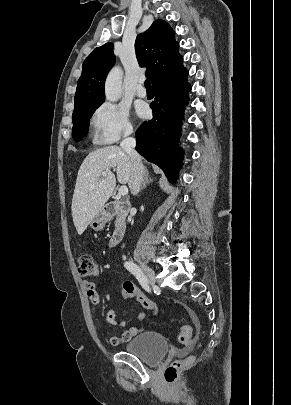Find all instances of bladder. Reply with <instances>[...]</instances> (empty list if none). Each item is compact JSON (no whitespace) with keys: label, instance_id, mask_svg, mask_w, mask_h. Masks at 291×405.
Masks as SVG:
<instances>
[{"label":"bladder","instance_id":"obj_1","mask_svg":"<svg viewBox=\"0 0 291 405\" xmlns=\"http://www.w3.org/2000/svg\"><path fill=\"white\" fill-rule=\"evenodd\" d=\"M169 346L166 338L156 331H144L130 339L124 351L136 356L147 365H157L166 356Z\"/></svg>","mask_w":291,"mask_h":405}]
</instances>
